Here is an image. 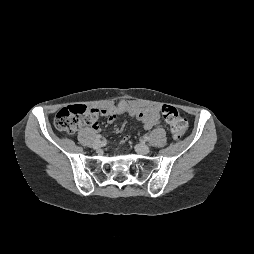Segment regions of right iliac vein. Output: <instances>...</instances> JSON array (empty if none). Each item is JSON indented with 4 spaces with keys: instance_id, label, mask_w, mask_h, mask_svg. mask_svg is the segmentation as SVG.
I'll return each instance as SVG.
<instances>
[{
    "instance_id": "1",
    "label": "right iliac vein",
    "mask_w": 254,
    "mask_h": 254,
    "mask_svg": "<svg viewBox=\"0 0 254 254\" xmlns=\"http://www.w3.org/2000/svg\"><path fill=\"white\" fill-rule=\"evenodd\" d=\"M102 146V142L100 140L95 141L93 144L94 149H99Z\"/></svg>"
}]
</instances>
